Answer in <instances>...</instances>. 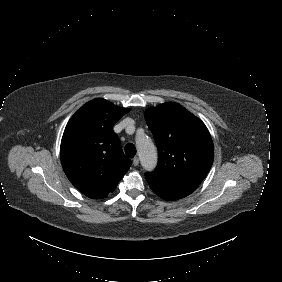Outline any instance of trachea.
Returning <instances> with one entry per match:
<instances>
[{
	"mask_svg": "<svg viewBox=\"0 0 282 282\" xmlns=\"http://www.w3.org/2000/svg\"><path fill=\"white\" fill-rule=\"evenodd\" d=\"M125 154L129 158H133L136 154V147L134 144L129 143L125 146Z\"/></svg>",
	"mask_w": 282,
	"mask_h": 282,
	"instance_id": "trachea-1",
	"label": "trachea"
}]
</instances>
